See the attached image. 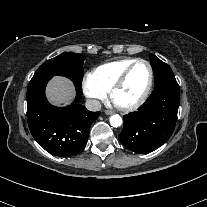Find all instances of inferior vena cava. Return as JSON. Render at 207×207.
<instances>
[{
    "instance_id": "1",
    "label": "inferior vena cava",
    "mask_w": 207,
    "mask_h": 207,
    "mask_svg": "<svg viewBox=\"0 0 207 207\" xmlns=\"http://www.w3.org/2000/svg\"><path fill=\"white\" fill-rule=\"evenodd\" d=\"M85 107L89 110V111H100L101 109V103L98 100L95 99H88L85 102Z\"/></svg>"
}]
</instances>
